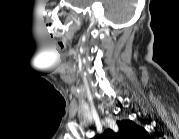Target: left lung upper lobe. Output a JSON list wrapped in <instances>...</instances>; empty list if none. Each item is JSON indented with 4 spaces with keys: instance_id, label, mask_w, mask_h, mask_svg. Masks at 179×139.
Returning a JSON list of instances; mask_svg holds the SVG:
<instances>
[{
    "instance_id": "left-lung-upper-lobe-1",
    "label": "left lung upper lobe",
    "mask_w": 179,
    "mask_h": 139,
    "mask_svg": "<svg viewBox=\"0 0 179 139\" xmlns=\"http://www.w3.org/2000/svg\"><path fill=\"white\" fill-rule=\"evenodd\" d=\"M119 132L114 133L112 130H106L101 136L102 139H142L147 136V132L142 127L136 125L130 120L117 122Z\"/></svg>"
}]
</instances>
